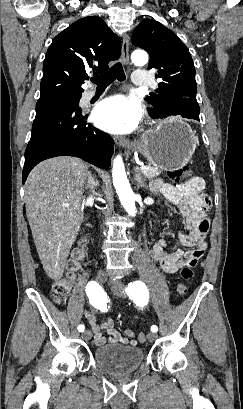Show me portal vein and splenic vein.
<instances>
[{"mask_svg": "<svg viewBox=\"0 0 243 409\" xmlns=\"http://www.w3.org/2000/svg\"><path fill=\"white\" fill-rule=\"evenodd\" d=\"M146 169H147L146 166H141V167H140V170H141L142 172L146 171Z\"/></svg>", "mask_w": 243, "mask_h": 409, "instance_id": "18ae733b", "label": "portal vein and splenic vein"}]
</instances>
